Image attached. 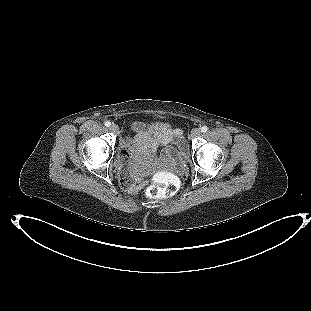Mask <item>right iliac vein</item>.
<instances>
[{
	"label": "right iliac vein",
	"mask_w": 311,
	"mask_h": 311,
	"mask_svg": "<svg viewBox=\"0 0 311 311\" xmlns=\"http://www.w3.org/2000/svg\"><path fill=\"white\" fill-rule=\"evenodd\" d=\"M110 130H111L113 133H118L119 127H118L116 124L113 123V124L110 126Z\"/></svg>",
	"instance_id": "1"
}]
</instances>
